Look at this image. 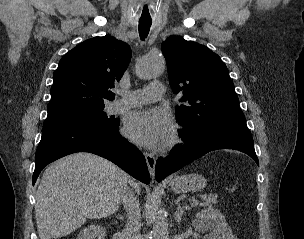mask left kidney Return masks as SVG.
Instances as JSON below:
<instances>
[{"instance_id": "5707ae66", "label": "left kidney", "mask_w": 304, "mask_h": 239, "mask_svg": "<svg viewBox=\"0 0 304 239\" xmlns=\"http://www.w3.org/2000/svg\"><path fill=\"white\" fill-rule=\"evenodd\" d=\"M193 226L199 232L213 227L206 239H237L227 224L225 217L216 209H204L196 214Z\"/></svg>"}]
</instances>
